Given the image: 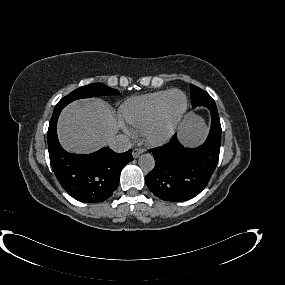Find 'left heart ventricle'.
<instances>
[{"mask_svg": "<svg viewBox=\"0 0 285 285\" xmlns=\"http://www.w3.org/2000/svg\"><path fill=\"white\" fill-rule=\"evenodd\" d=\"M183 97L179 94H175L171 99V111L175 113L182 105Z\"/></svg>", "mask_w": 285, "mask_h": 285, "instance_id": "obj_1", "label": "left heart ventricle"}]
</instances>
